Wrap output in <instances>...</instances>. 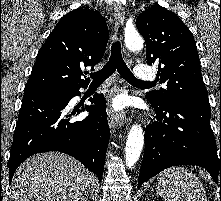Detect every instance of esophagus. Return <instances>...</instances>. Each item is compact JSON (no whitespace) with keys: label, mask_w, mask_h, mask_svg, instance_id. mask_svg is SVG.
I'll return each mask as SVG.
<instances>
[{"label":"esophagus","mask_w":221,"mask_h":201,"mask_svg":"<svg viewBox=\"0 0 221 201\" xmlns=\"http://www.w3.org/2000/svg\"><path fill=\"white\" fill-rule=\"evenodd\" d=\"M114 19H115V31L116 33L120 31L124 25L125 21V11L121 5H115L114 8ZM109 125L111 128L115 129L117 125L123 126L126 123L124 114L119 112H114L112 109H107Z\"/></svg>","instance_id":"34e87169"}]
</instances>
